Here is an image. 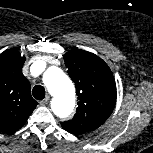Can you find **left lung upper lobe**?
<instances>
[{"label":"left lung upper lobe","instance_id":"1","mask_svg":"<svg viewBox=\"0 0 153 153\" xmlns=\"http://www.w3.org/2000/svg\"><path fill=\"white\" fill-rule=\"evenodd\" d=\"M64 61L79 102L74 117L61 125L76 135L93 131L109 118L115 107L117 93L113 74L101 58L84 50L67 52Z\"/></svg>","mask_w":153,"mask_h":153}]
</instances>
